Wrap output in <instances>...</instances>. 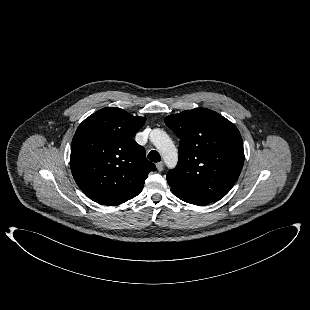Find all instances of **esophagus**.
<instances>
[{"label": "esophagus", "instance_id": "esophagus-1", "mask_svg": "<svg viewBox=\"0 0 310 310\" xmlns=\"http://www.w3.org/2000/svg\"><path fill=\"white\" fill-rule=\"evenodd\" d=\"M156 167H157V170H158L159 172H161V171L163 170V168H164V163H163V162H158V163L156 164Z\"/></svg>", "mask_w": 310, "mask_h": 310}]
</instances>
